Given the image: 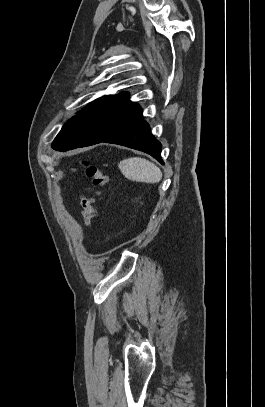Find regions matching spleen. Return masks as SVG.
<instances>
[{
  "mask_svg": "<svg viewBox=\"0 0 265 407\" xmlns=\"http://www.w3.org/2000/svg\"><path fill=\"white\" fill-rule=\"evenodd\" d=\"M118 167L122 174L132 181L158 183L162 179V172L159 167L141 157L122 160Z\"/></svg>",
  "mask_w": 265,
  "mask_h": 407,
  "instance_id": "spleen-1",
  "label": "spleen"
}]
</instances>
